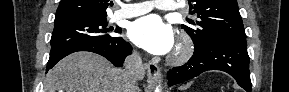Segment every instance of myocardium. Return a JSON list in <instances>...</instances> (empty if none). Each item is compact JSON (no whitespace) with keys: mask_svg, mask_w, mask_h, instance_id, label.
Segmentation results:
<instances>
[{"mask_svg":"<svg viewBox=\"0 0 289 92\" xmlns=\"http://www.w3.org/2000/svg\"><path fill=\"white\" fill-rule=\"evenodd\" d=\"M193 54V43L186 34L181 35L173 53L170 56V62L181 64L186 62Z\"/></svg>","mask_w":289,"mask_h":92,"instance_id":"1","label":"myocardium"}]
</instances>
